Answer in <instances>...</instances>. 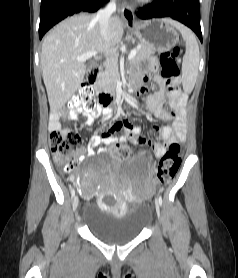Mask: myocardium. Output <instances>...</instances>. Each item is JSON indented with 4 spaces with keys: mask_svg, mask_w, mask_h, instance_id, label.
Returning <instances> with one entry per match:
<instances>
[{
    "mask_svg": "<svg viewBox=\"0 0 238 278\" xmlns=\"http://www.w3.org/2000/svg\"><path fill=\"white\" fill-rule=\"evenodd\" d=\"M138 1H140L142 3H149V2H152L153 0H138Z\"/></svg>",
    "mask_w": 238,
    "mask_h": 278,
    "instance_id": "myocardium-1",
    "label": "myocardium"
}]
</instances>
